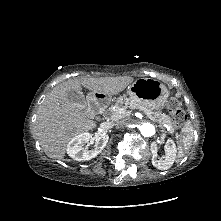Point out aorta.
I'll return each mask as SVG.
<instances>
[{
	"label": "aorta",
	"mask_w": 221,
	"mask_h": 221,
	"mask_svg": "<svg viewBox=\"0 0 221 221\" xmlns=\"http://www.w3.org/2000/svg\"><path fill=\"white\" fill-rule=\"evenodd\" d=\"M140 132L144 137H151L155 134V127L151 123H143L140 126Z\"/></svg>",
	"instance_id": "aorta-1"
}]
</instances>
